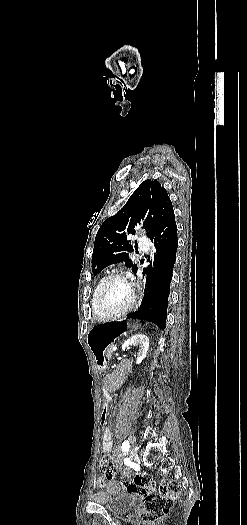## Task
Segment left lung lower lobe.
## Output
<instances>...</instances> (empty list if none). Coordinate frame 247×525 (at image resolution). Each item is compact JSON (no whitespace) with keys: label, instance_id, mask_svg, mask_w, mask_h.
<instances>
[{"label":"left lung lower lobe","instance_id":"0a47b994","mask_svg":"<svg viewBox=\"0 0 247 525\" xmlns=\"http://www.w3.org/2000/svg\"><path fill=\"white\" fill-rule=\"evenodd\" d=\"M157 254L153 267L147 271L144 296L137 311L128 318L141 319L155 323L162 329L166 327V313L173 266L178 247L177 226L174 213L171 214L149 237Z\"/></svg>","mask_w":247,"mask_h":525}]
</instances>
